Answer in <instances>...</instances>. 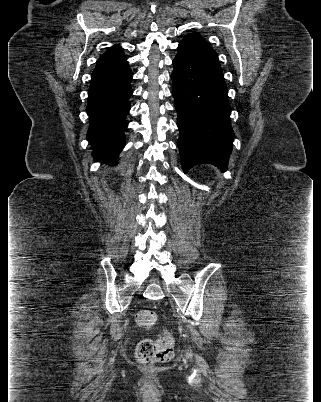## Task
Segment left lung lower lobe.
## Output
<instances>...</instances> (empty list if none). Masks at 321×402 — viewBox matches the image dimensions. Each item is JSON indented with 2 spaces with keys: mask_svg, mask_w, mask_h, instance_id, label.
Masks as SVG:
<instances>
[{
  "mask_svg": "<svg viewBox=\"0 0 321 402\" xmlns=\"http://www.w3.org/2000/svg\"><path fill=\"white\" fill-rule=\"evenodd\" d=\"M173 65L177 145L184 170L203 163L227 170L234 132L217 53L206 42L182 40Z\"/></svg>",
  "mask_w": 321,
  "mask_h": 402,
  "instance_id": "obj_1",
  "label": "left lung lower lobe"
}]
</instances>
